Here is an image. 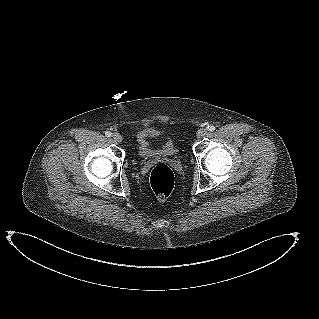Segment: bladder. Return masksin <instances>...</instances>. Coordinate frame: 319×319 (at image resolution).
Segmentation results:
<instances>
[{
    "mask_svg": "<svg viewBox=\"0 0 319 319\" xmlns=\"http://www.w3.org/2000/svg\"><path fill=\"white\" fill-rule=\"evenodd\" d=\"M158 135V131L153 129L143 130L137 135V151L142 159L168 158L178 154L177 148L170 139L164 140L160 146H155L152 139Z\"/></svg>",
    "mask_w": 319,
    "mask_h": 319,
    "instance_id": "1",
    "label": "bladder"
}]
</instances>
